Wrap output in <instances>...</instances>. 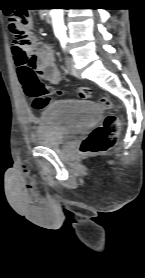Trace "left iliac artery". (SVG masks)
I'll return each instance as SVG.
<instances>
[{
	"instance_id": "left-iliac-artery-1",
	"label": "left iliac artery",
	"mask_w": 145,
	"mask_h": 278,
	"mask_svg": "<svg viewBox=\"0 0 145 278\" xmlns=\"http://www.w3.org/2000/svg\"><path fill=\"white\" fill-rule=\"evenodd\" d=\"M60 42L63 48H65V45L67 43V38L66 37H60Z\"/></svg>"
}]
</instances>
